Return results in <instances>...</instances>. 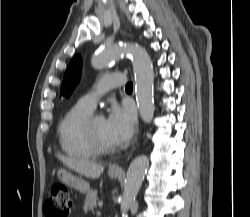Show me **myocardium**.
I'll return each instance as SVG.
<instances>
[{"label":"myocardium","instance_id":"myocardium-1","mask_svg":"<svg viewBox=\"0 0 250 217\" xmlns=\"http://www.w3.org/2000/svg\"><path fill=\"white\" fill-rule=\"evenodd\" d=\"M99 114L97 113H91L83 122V133L84 136L89 143V145L92 147V149L98 153V154H106V153H111L114 151L113 146H108L102 143L98 137L95 134L94 128H93V123L96 117H98Z\"/></svg>","mask_w":250,"mask_h":217}]
</instances>
